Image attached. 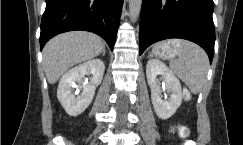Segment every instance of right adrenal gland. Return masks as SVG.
<instances>
[{
  "label": "right adrenal gland",
  "mask_w": 243,
  "mask_h": 145,
  "mask_svg": "<svg viewBox=\"0 0 243 145\" xmlns=\"http://www.w3.org/2000/svg\"><path fill=\"white\" fill-rule=\"evenodd\" d=\"M102 56H105V48L102 50Z\"/></svg>",
  "instance_id": "obj_1"
}]
</instances>
